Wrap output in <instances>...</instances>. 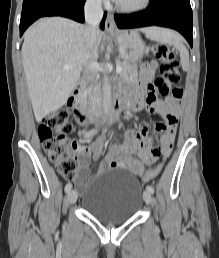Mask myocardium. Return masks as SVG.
<instances>
[{"label": "myocardium", "instance_id": "obj_1", "mask_svg": "<svg viewBox=\"0 0 219 258\" xmlns=\"http://www.w3.org/2000/svg\"><path fill=\"white\" fill-rule=\"evenodd\" d=\"M151 0H141L136 5H123L119 2H116V9L120 12L127 14H134L145 10L150 5Z\"/></svg>", "mask_w": 219, "mask_h": 258}]
</instances>
